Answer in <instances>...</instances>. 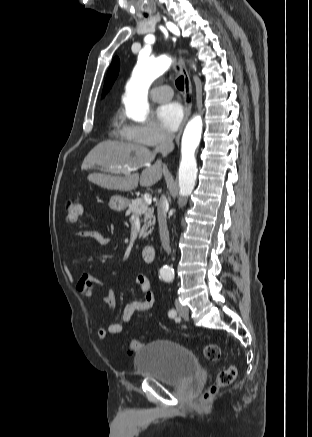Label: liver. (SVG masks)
<instances>
[{"label": "liver", "mask_w": 312, "mask_h": 437, "mask_svg": "<svg viewBox=\"0 0 312 437\" xmlns=\"http://www.w3.org/2000/svg\"><path fill=\"white\" fill-rule=\"evenodd\" d=\"M155 156L156 152L145 146L107 140L97 144L89 152L84 160L83 169L88 170L98 166L101 170L111 171L115 176L92 173L87 178L90 182L108 190L130 191L137 188L138 183L150 187L162 178L161 160L151 164ZM142 167L144 169L139 174L137 169ZM128 168L132 169L130 173Z\"/></svg>", "instance_id": "6515ba94"}]
</instances>
